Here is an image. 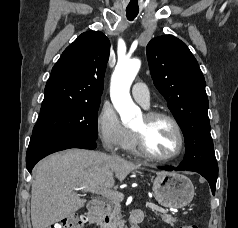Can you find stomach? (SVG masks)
<instances>
[{
  "instance_id": "0dacf381",
  "label": "stomach",
  "mask_w": 238,
  "mask_h": 228,
  "mask_svg": "<svg viewBox=\"0 0 238 228\" xmlns=\"http://www.w3.org/2000/svg\"><path fill=\"white\" fill-rule=\"evenodd\" d=\"M152 189L159 204L167 208H183L194 197V186L191 180L174 172L157 173Z\"/></svg>"
}]
</instances>
